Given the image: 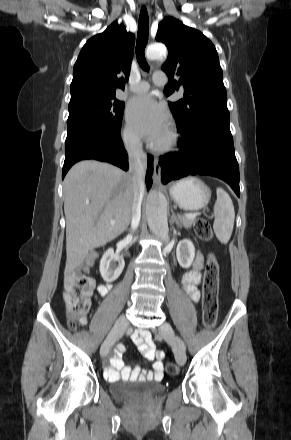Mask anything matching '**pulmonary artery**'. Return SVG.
Listing matches in <instances>:
<instances>
[{
  "label": "pulmonary artery",
  "mask_w": 291,
  "mask_h": 440,
  "mask_svg": "<svg viewBox=\"0 0 291 440\" xmlns=\"http://www.w3.org/2000/svg\"><path fill=\"white\" fill-rule=\"evenodd\" d=\"M152 82L157 85V86H164L165 84L168 83V77L162 73H156L153 75L152 77ZM150 88V83L148 81H138L136 82L132 87H131V91L134 93H144L146 91H148Z\"/></svg>",
  "instance_id": "obj_1"
}]
</instances>
